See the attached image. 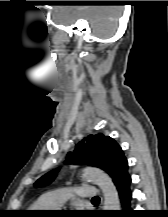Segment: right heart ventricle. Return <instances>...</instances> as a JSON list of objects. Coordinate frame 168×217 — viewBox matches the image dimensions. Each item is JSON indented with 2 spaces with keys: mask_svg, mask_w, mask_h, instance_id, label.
Returning <instances> with one entry per match:
<instances>
[{
  "mask_svg": "<svg viewBox=\"0 0 168 217\" xmlns=\"http://www.w3.org/2000/svg\"><path fill=\"white\" fill-rule=\"evenodd\" d=\"M52 209L51 206L44 203L41 199L37 200L32 206L31 211H42Z\"/></svg>",
  "mask_w": 168,
  "mask_h": 217,
  "instance_id": "obj_1",
  "label": "right heart ventricle"
}]
</instances>
